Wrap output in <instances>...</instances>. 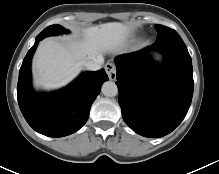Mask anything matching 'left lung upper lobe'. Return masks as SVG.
Returning <instances> with one entry per match:
<instances>
[{"label":"left lung upper lobe","mask_w":219,"mask_h":174,"mask_svg":"<svg viewBox=\"0 0 219 174\" xmlns=\"http://www.w3.org/2000/svg\"><path fill=\"white\" fill-rule=\"evenodd\" d=\"M155 29L158 33L156 42H161L164 40H182L179 34L169 27L163 25H155Z\"/></svg>","instance_id":"left-lung-upper-lobe-1"}]
</instances>
